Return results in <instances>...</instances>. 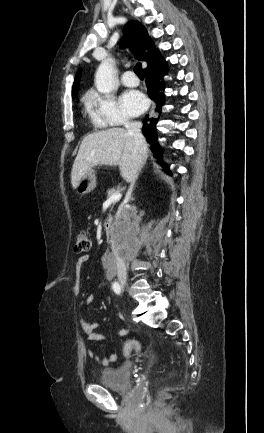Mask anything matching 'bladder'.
Returning <instances> with one entry per match:
<instances>
[{
    "mask_svg": "<svg viewBox=\"0 0 264 433\" xmlns=\"http://www.w3.org/2000/svg\"><path fill=\"white\" fill-rule=\"evenodd\" d=\"M132 364L125 363L122 366L100 371L99 382L101 385L116 391H127L131 383Z\"/></svg>",
    "mask_w": 264,
    "mask_h": 433,
    "instance_id": "1",
    "label": "bladder"
}]
</instances>
